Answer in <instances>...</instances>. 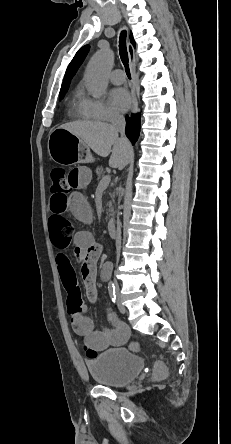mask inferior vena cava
<instances>
[{
  "mask_svg": "<svg viewBox=\"0 0 231 444\" xmlns=\"http://www.w3.org/2000/svg\"><path fill=\"white\" fill-rule=\"evenodd\" d=\"M111 122V127L117 131L120 132L121 134V138L122 139H126L125 137V119L123 117V115H120L119 113H113L110 119ZM121 213L119 212L116 216V222H117V231H116V236H117V241H116V248H117V255L119 256V252H120V236H121V232L124 230L122 228V219H121Z\"/></svg>",
  "mask_w": 231,
  "mask_h": 444,
  "instance_id": "obj_1",
  "label": "inferior vena cava"
}]
</instances>
